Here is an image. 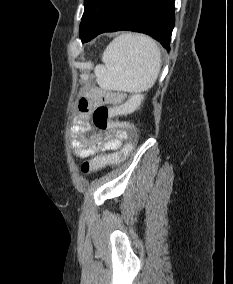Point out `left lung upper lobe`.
Wrapping results in <instances>:
<instances>
[{
  "label": "left lung upper lobe",
  "instance_id": "left-lung-upper-lobe-1",
  "mask_svg": "<svg viewBox=\"0 0 233 284\" xmlns=\"http://www.w3.org/2000/svg\"><path fill=\"white\" fill-rule=\"evenodd\" d=\"M104 1L105 0H84L85 10L79 28L80 38H82L91 28L97 10Z\"/></svg>",
  "mask_w": 233,
  "mask_h": 284
}]
</instances>
